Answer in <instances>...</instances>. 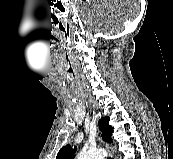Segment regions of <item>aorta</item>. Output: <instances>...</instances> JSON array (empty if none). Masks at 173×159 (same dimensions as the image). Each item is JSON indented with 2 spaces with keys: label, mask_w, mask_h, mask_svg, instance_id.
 I'll list each match as a JSON object with an SVG mask.
<instances>
[{
  "label": "aorta",
  "mask_w": 173,
  "mask_h": 159,
  "mask_svg": "<svg viewBox=\"0 0 173 159\" xmlns=\"http://www.w3.org/2000/svg\"><path fill=\"white\" fill-rule=\"evenodd\" d=\"M106 151L104 149H90L87 152H81L76 159H104Z\"/></svg>",
  "instance_id": "obj_1"
}]
</instances>
